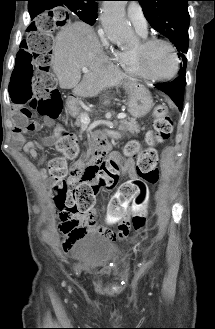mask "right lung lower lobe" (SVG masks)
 <instances>
[{"mask_svg": "<svg viewBox=\"0 0 215 329\" xmlns=\"http://www.w3.org/2000/svg\"><path fill=\"white\" fill-rule=\"evenodd\" d=\"M28 10L31 18L33 19L36 15L42 12V7L37 1H29Z\"/></svg>", "mask_w": 215, "mask_h": 329, "instance_id": "obj_1", "label": "right lung lower lobe"}]
</instances>
